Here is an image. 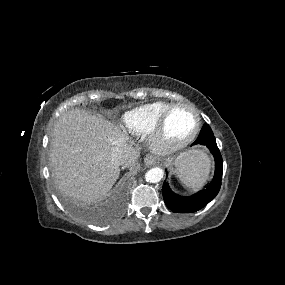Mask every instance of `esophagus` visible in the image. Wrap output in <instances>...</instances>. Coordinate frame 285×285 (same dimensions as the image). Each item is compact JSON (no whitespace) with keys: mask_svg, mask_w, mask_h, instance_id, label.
<instances>
[{"mask_svg":"<svg viewBox=\"0 0 285 285\" xmlns=\"http://www.w3.org/2000/svg\"><path fill=\"white\" fill-rule=\"evenodd\" d=\"M155 161H156L155 158L152 155H150V154L146 155L145 158H144V163L147 166L154 165Z\"/></svg>","mask_w":285,"mask_h":285,"instance_id":"obj_1","label":"esophagus"}]
</instances>
